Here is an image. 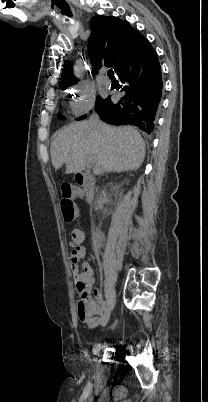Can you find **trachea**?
Listing matches in <instances>:
<instances>
[{"label": "trachea", "instance_id": "3493384b", "mask_svg": "<svg viewBox=\"0 0 208 402\" xmlns=\"http://www.w3.org/2000/svg\"><path fill=\"white\" fill-rule=\"evenodd\" d=\"M108 77L114 78V71L110 68L107 72Z\"/></svg>", "mask_w": 208, "mask_h": 402}]
</instances>
